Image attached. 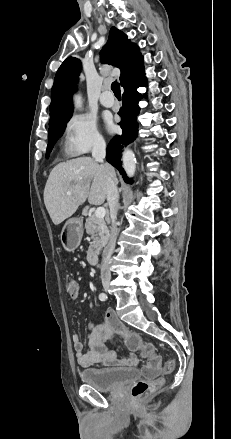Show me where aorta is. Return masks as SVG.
<instances>
[{"label": "aorta", "instance_id": "762f6f07", "mask_svg": "<svg viewBox=\"0 0 231 439\" xmlns=\"http://www.w3.org/2000/svg\"><path fill=\"white\" fill-rule=\"evenodd\" d=\"M75 107L82 108V100L80 95H75L74 97ZM123 167L129 177L134 176L136 170V158L132 150L126 149L123 152Z\"/></svg>", "mask_w": 231, "mask_h": 439}]
</instances>
